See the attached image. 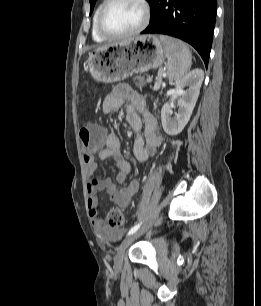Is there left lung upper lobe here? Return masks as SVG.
Masks as SVG:
<instances>
[{
	"label": "left lung upper lobe",
	"instance_id": "1",
	"mask_svg": "<svg viewBox=\"0 0 261 306\" xmlns=\"http://www.w3.org/2000/svg\"><path fill=\"white\" fill-rule=\"evenodd\" d=\"M97 0H90V14L92 13L93 11V8H94V5H95V2ZM149 3H151L153 0H147Z\"/></svg>",
	"mask_w": 261,
	"mask_h": 306
}]
</instances>
